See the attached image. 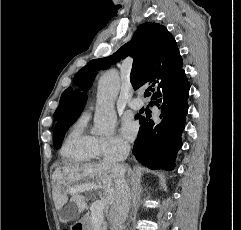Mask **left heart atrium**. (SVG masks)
<instances>
[{"label": "left heart atrium", "mask_w": 241, "mask_h": 230, "mask_svg": "<svg viewBox=\"0 0 241 230\" xmlns=\"http://www.w3.org/2000/svg\"><path fill=\"white\" fill-rule=\"evenodd\" d=\"M138 127L129 115H125L121 122V132L128 140H133L137 134Z\"/></svg>", "instance_id": "left-heart-atrium-1"}]
</instances>
